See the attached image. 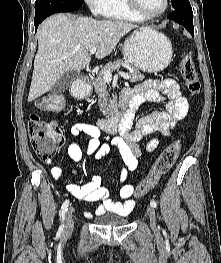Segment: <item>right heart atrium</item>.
Masks as SVG:
<instances>
[{"label":"right heart atrium","mask_w":221,"mask_h":263,"mask_svg":"<svg viewBox=\"0 0 221 263\" xmlns=\"http://www.w3.org/2000/svg\"><path fill=\"white\" fill-rule=\"evenodd\" d=\"M107 0H85L92 14L98 16L103 15Z\"/></svg>","instance_id":"right-heart-atrium-1"}]
</instances>
